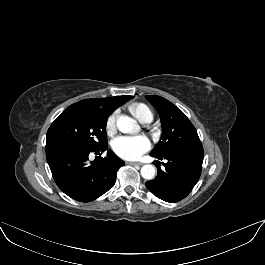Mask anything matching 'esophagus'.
<instances>
[{
    "instance_id": "esophagus-1",
    "label": "esophagus",
    "mask_w": 265,
    "mask_h": 265,
    "mask_svg": "<svg viewBox=\"0 0 265 265\" xmlns=\"http://www.w3.org/2000/svg\"><path fill=\"white\" fill-rule=\"evenodd\" d=\"M129 164L130 165H138V166H141L142 165L141 162H130Z\"/></svg>"
}]
</instances>
